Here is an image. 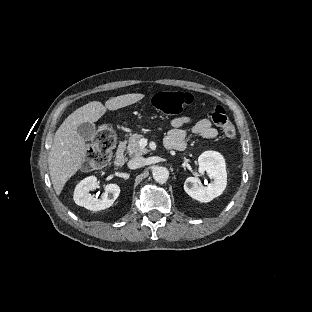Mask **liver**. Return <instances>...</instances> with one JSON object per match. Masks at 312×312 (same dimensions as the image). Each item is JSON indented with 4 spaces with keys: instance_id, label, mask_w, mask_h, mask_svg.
I'll return each mask as SVG.
<instances>
[{
    "instance_id": "1",
    "label": "liver",
    "mask_w": 312,
    "mask_h": 312,
    "mask_svg": "<svg viewBox=\"0 0 312 312\" xmlns=\"http://www.w3.org/2000/svg\"><path fill=\"white\" fill-rule=\"evenodd\" d=\"M146 96L142 93H127L111 97L105 102L91 101L71 113L54 135L48 155V169L56 194L59 196L65 184L83 165L86 141L77 133L80 124L95 123L108 111H116L139 102Z\"/></svg>"
}]
</instances>
